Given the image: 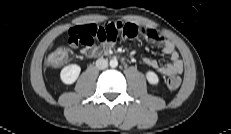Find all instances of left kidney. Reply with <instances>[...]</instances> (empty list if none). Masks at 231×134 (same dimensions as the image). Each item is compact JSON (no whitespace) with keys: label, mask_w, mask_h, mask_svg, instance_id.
<instances>
[{"label":"left kidney","mask_w":231,"mask_h":134,"mask_svg":"<svg viewBox=\"0 0 231 134\" xmlns=\"http://www.w3.org/2000/svg\"><path fill=\"white\" fill-rule=\"evenodd\" d=\"M146 78L148 80V82L152 85H157L159 83V77L158 75L153 72V71H148L146 73Z\"/></svg>","instance_id":"5707ae66"}]
</instances>
